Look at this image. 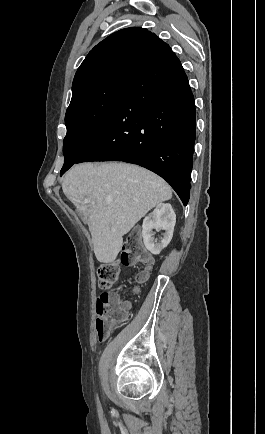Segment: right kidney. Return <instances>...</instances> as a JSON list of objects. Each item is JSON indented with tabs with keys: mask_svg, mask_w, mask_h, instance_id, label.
Returning a JSON list of instances; mask_svg holds the SVG:
<instances>
[{
	"mask_svg": "<svg viewBox=\"0 0 265 434\" xmlns=\"http://www.w3.org/2000/svg\"><path fill=\"white\" fill-rule=\"evenodd\" d=\"M176 222L175 212L171 204H158L154 212L144 218L142 224V236L145 248L158 256L163 248L170 244L173 238L174 226ZM165 230L164 238L157 244L156 240L152 238V230Z\"/></svg>",
	"mask_w": 265,
	"mask_h": 434,
	"instance_id": "right-kidney-1",
	"label": "right kidney"
}]
</instances>
